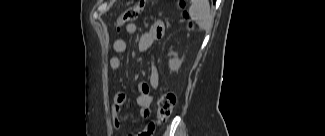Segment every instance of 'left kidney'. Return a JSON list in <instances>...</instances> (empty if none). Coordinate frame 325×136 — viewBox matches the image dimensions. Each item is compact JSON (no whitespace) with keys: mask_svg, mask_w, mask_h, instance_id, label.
<instances>
[{"mask_svg":"<svg viewBox=\"0 0 325 136\" xmlns=\"http://www.w3.org/2000/svg\"><path fill=\"white\" fill-rule=\"evenodd\" d=\"M170 55H172L173 58L169 60V68L171 71L177 72L181 67L182 60L179 59L178 54L176 52L171 51Z\"/></svg>","mask_w":325,"mask_h":136,"instance_id":"left-kidney-1","label":"left kidney"}]
</instances>
